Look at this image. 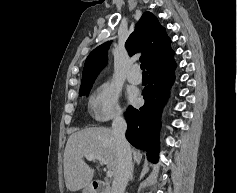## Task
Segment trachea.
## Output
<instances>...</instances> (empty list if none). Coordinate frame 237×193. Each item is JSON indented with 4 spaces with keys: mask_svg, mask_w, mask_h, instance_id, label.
<instances>
[{
    "mask_svg": "<svg viewBox=\"0 0 237 193\" xmlns=\"http://www.w3.org/2000/svg\"><path fill=\"white\" fill-rule=\"evenodd\" d=\"M140 68H141V70L143 71V74H146V72H145L146 66H145L144 63H141Z\"/></svg>",
    "mask_w": 237,
    "mask_h": 193,
    "instance_id": "obj_1",
    "label": "trachea"
}]
</instances>
